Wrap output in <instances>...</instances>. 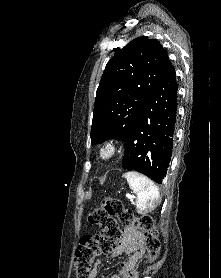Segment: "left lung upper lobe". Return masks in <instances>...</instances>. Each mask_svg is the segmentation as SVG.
Returning <instances> with one entry per match:
<instances>
[{"label": "left lung upper lobe", "mask_w": 221, "mask_h": 278, "mask_svg": "<svg viewBox=\"0 0 221 278\" xmlns=\"http://www.w3.org/2000/svg\"><path fill=\"white\" fill-rule=\"evenodd\" d=\"M169 61L161 44L147 37L116 49L96 93L93 144L111 138L126 140Z\"/></svg>", "instance_id": "left-lung-upper-lobe-1"}]
</instances>
